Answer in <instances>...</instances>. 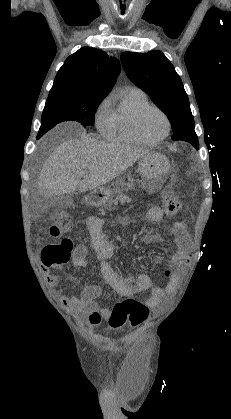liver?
<instances>
[{"label": "liver", "instance_id": "6515ba94", "mask_svg": "<svg viewBox=\"0 0 231 419\" xmlns=\"http://www.w3.org/2000/svg\"><path fill=\"white\" fill-rule=\"evenodd\" d=\"M148 149L93 138L70 139L58 146L42 167L38 191L44 197L97 189L124 173ZM87 171L83 180L78 174Z\"/></svg>", "mask_w": 231, "mask_h": 419}]
</instances>
